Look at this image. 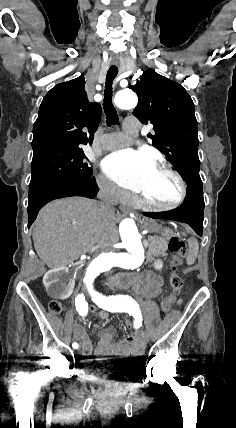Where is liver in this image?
<instances>
[{"mask_svg": "<svg viewBox=\"0 0 236 428\" xmlns=\"http://www.w3.org/2000/svg\"><path fill=\"white\" fill-rule=\"evenodd\" d=\"M34 248L48 268H63L88 254L95 244L118 242L114 214H103L94 200L62 198L44 206L34 222Z\"/></svg>", "mask_w": 236, "mask_h": 428, "instance_id": "1", "label": "liver"}]
</instances>
